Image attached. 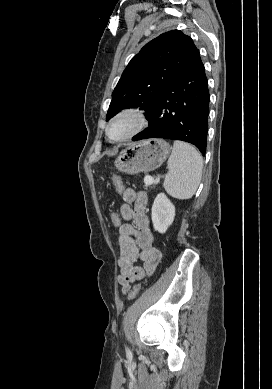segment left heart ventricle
<instances>
[{
	"label": "left heart ventricle",
	"mask_w": 272,
	"mask_h": 389,
	"mask_svg": "<svg viewBox=\"0 0 272 389\" xmlns=\"http://www.w3.org/2000/svg\"><path fill=\"white\" fill-rule=\"evenodd\" d=\"M132 121L129 119H122L117 121L112 129H111V136L113 138H119L123 135H125L131 128Z\"/></svg>",
	"instance_id": "obj_1"
}]
</instances>
